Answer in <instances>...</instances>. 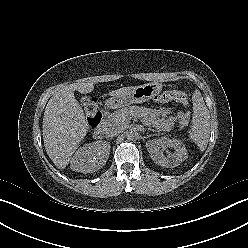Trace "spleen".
Here are the masks:
<instances>
[{
  "instance_id": "3e777b00",
  "label": "spleen",
  "mask_w": 248,
  "mask_h": 248,
  "mask_svg": "<svg viewBox=\"0 0 248 248\" xmlns=\"http://www.w3.org/2000/svg\"><path fill=\"white\" fill-rule=\"evenodd\" d=\"M192 102L193 117L189 135L199 149L204 151L207 147L210 134V114L199 90L194 91Z\"/></svg>"
}]
</instances>
